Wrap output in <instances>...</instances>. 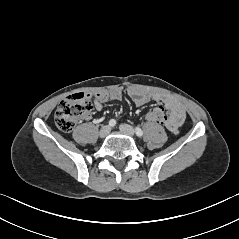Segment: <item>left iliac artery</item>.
Segmentation results:
<instances>
[{
    "mask_svg": "<svg viewBox=\"0 0 239 239\" xmlns=\"http://www.w3.org/2000/svg\"><path fill=\"white\" fill-rule=\"evenodd\" d=\"M135 132L138 137H141L143 135V131L139 127L135 128Z\"/></svg>",
    "mask_w": 239,
    "mask_h": 239,
    "instance_id": "left-iliac-artery-1",
    "label": "left iliac artery"
}]
</instances>
